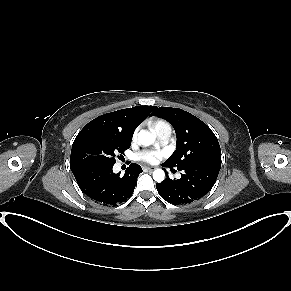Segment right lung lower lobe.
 Returning a JSON list of instances; mask_svg holds the SVG:
<instances>
[{
	"label": "right lung lower lobe",
	"instance_id": "obj_1",
	"mask_svg": "<svg viewBox=\"0 0 291 291\" xmlns=\"http://www.w3.org/2000/svg\"><path fill=\"white\" fill-rule=\"evenodd\" d=\"M113 166L95 167L74 173L80 189L92 200L106 206L126 201L134 192L140 165L132 163L123 177L115 174Z\"/></svg>",
	"mask_w": 291,
	"mask_h": 291
}]
</instances>
